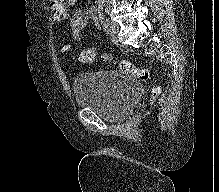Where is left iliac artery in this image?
Segmentation results:
<instances>
[{"label": "left iliac artery", "instance_id": "obj_1", "mask_svg": "<svg viewBox=\"0 0 219 192\" xmlns=\"http://www.w3.org/2000/svg\"><path fill=\"white\" fill-rule=\"evenodd\" d=\"M98 15H99L100 22L102 24V27H103L104 31L106 33H108V23H107V20H105L104 5L99 6Z\"/></svg>", "mask_w": 219, "mask_h": 192}]
</instances>
